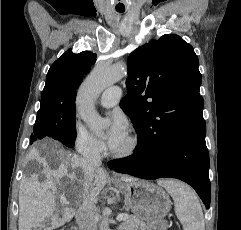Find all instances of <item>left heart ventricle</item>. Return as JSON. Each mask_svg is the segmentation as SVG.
I'll list each match as a JSON object with an SVG mask.
<instances>
[{"mask_svg":"<svg viewBox=\"0 0 241 230\" xmlns=\"http://www.w3.org/2000/svg\"><path fill=\"white\" fill-rule=\"evenodd\" d=\"M126 145H127V137L115 150H122L123 148L126 147Z\"/></svg>","mask_w":241,"mask_h":230,"instance_id":"b2bd125f","label":"left heart ventricle"}]
</instances>
